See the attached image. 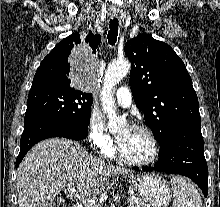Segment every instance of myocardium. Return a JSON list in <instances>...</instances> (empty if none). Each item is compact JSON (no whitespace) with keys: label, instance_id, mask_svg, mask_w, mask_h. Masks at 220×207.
<instances>
[{"label":"myocardium","instance_id":"f54148a6","mask_svg":"<svg viewBox=\"0 0 220 207\" xmlns=\"http://www.w3.org/2000/svg\"><path fill=\"white\" fill-rule=\"evenodd\" d=\"M132 128L143 131L149 137V139L152 143L151 156L149 158H147L146 160H141V161L129 159L128 157H126L124 155V153L121 149L120 143L117 139L116 143H115V148H114V153H115L116 157L120 161H122L123 163H125L127 165H131V166L142 167V166H147V165L154 163L159 155V142H158V139L155 136L154 132L148 126H146L144 124H136Z\"/></svg>","mask_w":220,"mask_h":207}]
</instances>
